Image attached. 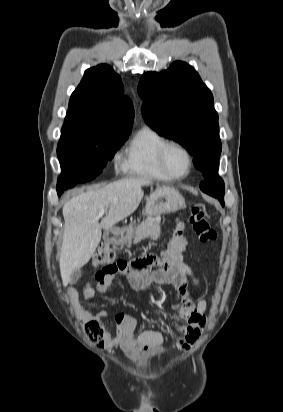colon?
Listing matches in <instances>:
<instances>
[{
  "label": "colon",
  "instance_id": "5ec220e1",
  "mask_svg": "<svg viewBox=\"0 0 283 412\" xmlns=\"http://www.w3.org/2000/svg\"><path fill=\"white\" fill-rule=\"evenodd\" d=\"M189 221L193 226L195 233L202 242H213L216 239V232L212 228L205 211L194 206L189 212ZM185 245L184 236L181 228H177L171 236L167 249L156 257L150 255L127 262L125 260H114V251L108 245H100L94 256L93 264L99 268L97 277L101 278L107 275H114L128 268L140 271L149 272L154 270V267L166 268L168 262L176 257ZM84 332L92 342H99L104 332L102 324L95 321H85L83 323Z\"/></svg>",
  "mask_w": 283,
  "mask_h": 412
}]
</instances>
